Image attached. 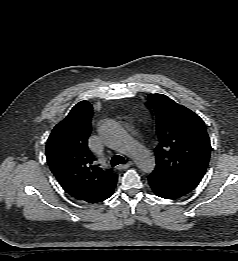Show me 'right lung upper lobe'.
<instances>
[{
	"mask_svg": "<svg viewBox=\"0 0 238 261\" xmlns=\"http://www.w3.org/2000/svg\"><path fill=\"white\" fill-rule=\"evenodd\" d=\"M93 107L77 103L55 126L46 144L49 167L63 189L77 200L96 203L116 185L117 174L103 170L88 148Z\"/></svg>",
	"mask_w": 238,
	"mask_h": 261,
	"instance_id": "1",
	"label": "right lung upper lobe"
}]
</instances>
